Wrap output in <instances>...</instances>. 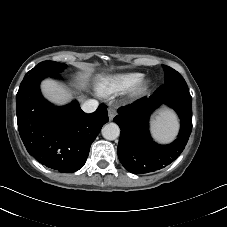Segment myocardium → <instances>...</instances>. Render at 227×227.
<instances>
[{
  "label": "myocardium",
  "instance_id": "myocardium-1",
  "mask_svg": "<svg viewBox=\"0 0 227 227\" xmlns=\"http://www.w3.org/2000/svg\"><path fill=\"white\" fill-rule=\"evenodd\" d=\"M150 81L151 80L149 77H144V78L140 79L134 86L133 93L137 95V94H141L142 92H144L146 90V88L149 86Z\"/></svg>",
  "mask_w": 227,
  "mask_h": 227
}]
</instances>
